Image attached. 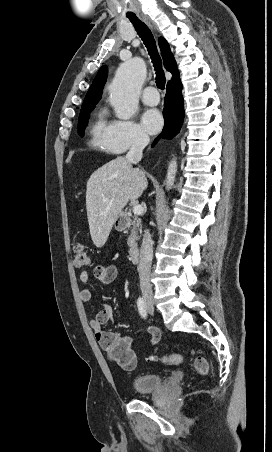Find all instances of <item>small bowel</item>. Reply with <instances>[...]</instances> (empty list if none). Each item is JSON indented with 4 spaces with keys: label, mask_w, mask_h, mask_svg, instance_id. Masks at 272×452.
<instances>
[{
    "label": "small bowel",
    "mask_w": 272,
    "mask_h": 452,
    "mask_svg": "<svg viewBox=\"0 0 272 452\" xmlns=\"http://www.w3.org/2000/svg\"><path fill=\"white\" fill-rule=\"evenodd\" d=\"M94 277L103 284H110L114 282L118 276V269L115 265H96L93 269ZM79 279L83 284V288L80 293V297L84 302H90L93 297L92 289L89 285V274L87 271H82L79 275ZM113 308L110 304H102L101 308L96 313L95 317L90 320L89 325L94 332L95 339L97 340L100 348L109 352L110 348L115 344L122 336L118 332L104 331L103 325L107 323H113ZM146 333L150 336V343L155 346L161 338L160 331L153 327L148 326L145 329ZM127 340V339H126ZM128 341V340H127Z\"/></svg>",
    "instance_id": "c3829d8e"
}]
</instances>
